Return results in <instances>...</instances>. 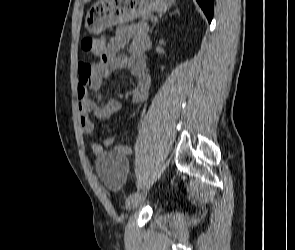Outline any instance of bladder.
I'll return each instance as SVG.
<instances>
[{
  "mask_svg": "<svg viewBox=\"0 0 295 250\" xmlns=\"http://www.w3.org/2000/svg\"><path fill=\"white\" fill-rule=\"evenodd\" d=\"M127 159L125 156L108 151L104 152L95 163V170L105 186L119 189L127 174Z\"/></svg>",
  "mask_w": 295,
  "mask_h": 250,
  "instance_id": "bladder-1",
  "label": "bladder"
}]
</instances>
